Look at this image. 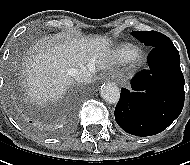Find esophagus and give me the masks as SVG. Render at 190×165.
Wrapping results in <instances>:
<instances>
[{
	"label": "esophagus",
	"mask_w": 190,
	"mask_h": 165,
	"mask_svg": "<svg viewBox=\"0 0 190 165\" xmlns=\"http://www.w3.org/2000/svg\"><path fill=\"white\" fill-rule=\"evenodd\" d=\"M109 76L111 77V79L117 78V75H116V74H110Z\"/></svg>",
	"instance_id": "esophagus-1"
}]
</instances>
